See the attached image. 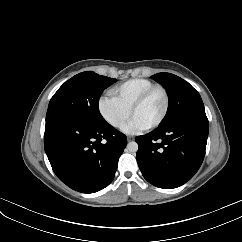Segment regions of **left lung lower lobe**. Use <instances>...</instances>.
Returning a JSON list of instances; mask_svg holds the SVG:
<instances>
[{
    "label": "left lung lower lobe",
    "instance_id": "1",
    "mask_svg": "<svg viewBox=\"0 0 242 242\" xmlns=\"http://www.w3.org/2000/svg\"><path fill=\"white\" fill-rule=\"evenodd\" d=\"M208 130L206 114L196 113L136 137V158L144 178L164 189L186 183L203 162Z\"/></svg>",
    "mask_w": 242,
    "mask_h": 242
}]
</instances>
